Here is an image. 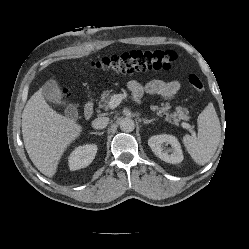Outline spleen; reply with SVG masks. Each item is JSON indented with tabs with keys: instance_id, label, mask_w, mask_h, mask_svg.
<instances>
[{
	"instance_id": "obj_1",
	"label": "spleen",
	"mask_w": 249,
	"mask_h": 249,
	"mask_svg": "<svg viewBox=\"0 0 249 249\" xmlns=\"http://www.w3.org/2000/svg\"><path fill=\"white\" fill-rule=\"evenodd\" d=\"M197 123V136L185 135L182 141L192 159L204 165L215 154L221 138L220 121L213 103H209L199 114Z\"/></svg>"
}]
</instances>
